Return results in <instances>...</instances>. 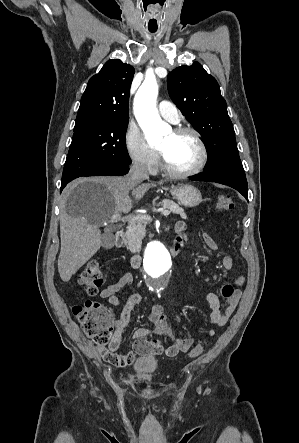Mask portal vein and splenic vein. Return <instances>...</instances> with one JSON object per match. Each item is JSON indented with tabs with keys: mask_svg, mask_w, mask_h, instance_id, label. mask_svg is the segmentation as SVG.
<instances>
[{
	"mask_svg": "<svg viewBox=\"0 0 299 443\" xmlns=\"http://www.w3.org/2000/svg\"><path fill=\"white\" fill-rule=\"evenodd\" d=\"M161 213H162L163 216H168L170 214V211L169 210H163ZM120 220L127 221V222H129L131 224V223H133L135 221H138V220H151V217L148 216V215H136V216L121 217L120 214H115V215H113L111 217V220L109 222L116 223V222H118Z\"/></svg>",
	"mask_w": 299,
	"mask_h": 443,
	"instance_id": "18ae733b",
	"label": "portal vein and splenic vein"
}]
</instances>
